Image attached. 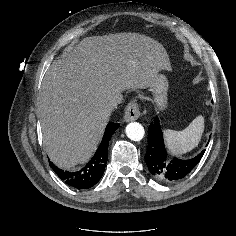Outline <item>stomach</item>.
<instances>
[{"instance_id": "stomach-1", "label": "stomach", "mask_w": 236, "mask_h": 236, "mask_svg": "<svg viewBox=\"0 0 236 236\" xmlns=\"http://www.w3.org/2000/svg\"><path fill=\"white\" fill-rule=\"evenodd\" d=\"M168 80L165 75L158 73L150 90L154 94V103L157 110L162 111L167 106Z\"/></svg>"}]
</instances>
